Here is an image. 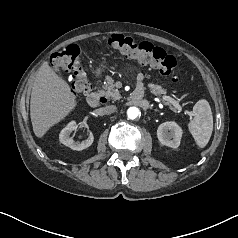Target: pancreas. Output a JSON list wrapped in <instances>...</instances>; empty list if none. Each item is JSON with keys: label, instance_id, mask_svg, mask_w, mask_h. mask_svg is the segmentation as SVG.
Wrapping results in <instances>:
<instances>
[{"label": "pancreas", "instance_id": "obj_1", "mask_svg": "<svg viewBox=\"0 0 238 238\" xmlns=\"http://www.w3.org/2000/svg\"><path fill=\"white\" fill-rule=\"evenodd\" d=\"M150 92L154 95H165L166 91L160 85L157 84H148ZM104 91L102 92L107 98L114 101L121 98L120 92L115 88L114 80L110 77L107 78L106 84L103 86Z\"/></svg>", "mask_w": 238, "mask_h": 238}]
</instances>
